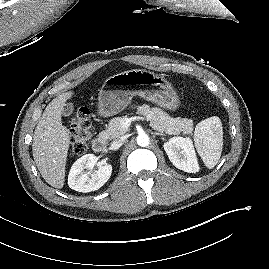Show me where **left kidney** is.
Returning <instances> with one entry per match:
<instances>
[{
    "mask_svg": "<svg viewBox=\"0 0 269 269\" xmlns=\"http://www.w3.org/2000/svg\"><path fill=\"white\" fill-rule=\"evenodd\" d=\"M164 150L176 168L188 173L199 171L195 150L190 138L173 137L164 143Z\"/></svg>",
    "mask_w": 269,
    "mask_h": 269,
    "instance_id": "left-kidney-1",
    "label": "left kidney"
}]
</instances>
